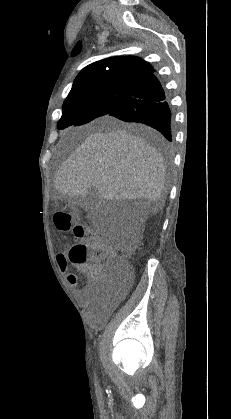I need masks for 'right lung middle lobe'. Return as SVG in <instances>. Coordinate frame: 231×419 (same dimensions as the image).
Returning a JSON list of instances; mask_svg holds the SVG:
<instances>
[{
	"label": "right lung middle lobe",
	"mask_w": 231,
	"mask_h": 419,
	"mask_svg": "<svg viewBox=\"0 0 231 419\" xmlns=\"http://www.w3.org/2000/svg\"><path fill=\"white\" fill-rule=\"evenodd\" d=\"M133 88L134 86L128 85H103L69 93L63 103L58 129L82 125L107 115L131 93Z\"/></svg>",
	"instance_id": "1"
}]
</instances>
